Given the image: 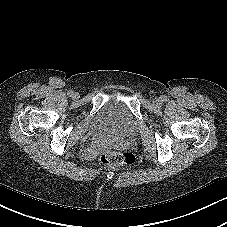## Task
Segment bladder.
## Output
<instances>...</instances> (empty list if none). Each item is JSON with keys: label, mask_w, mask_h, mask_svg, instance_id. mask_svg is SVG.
<instances>
[{"label": "bladder", "mask_w": 227, "mask_h": 227, "mask_svg": "<svg viewBox=\"0 0 227 227\" xmlns=\"http://www.w3.org/2000/svg\"><path fill=\"white\" fill-rule=\"evenodd\" d=\"M92 130L100 137L123 140L136 135L138 123L125 102L112 98L96 113Z\"/></svg>", "instance_id": "31cf9c89"}]
</instances>
